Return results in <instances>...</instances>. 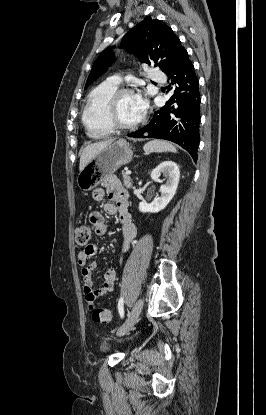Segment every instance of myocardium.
<instances>
[{
  "label": "myocardium",
  "instance_id": "obj_1",
  "mask_svg": "<svg viewBox=\"0 0 266 415\" xmlns=\"http://www.w3.org/2000/svg\"><path fill=\"white\" fill-rule=\"evenodd\" d=\"M132 93L133 91L131 89L119 88L112 94V96L110 97L108 101V104H107L108 119L111 125L113 126V128L116 130H121V131L135 130L139 128L146 120V115L144 113L142 114L141 118L133 124H124L119 120L117 116V103L122 96L127 95V94H132Z\"/></svg>",
  "mask_w": 266,
  "mask_h": 415
}]
</instances>
